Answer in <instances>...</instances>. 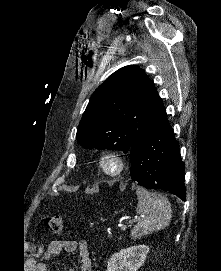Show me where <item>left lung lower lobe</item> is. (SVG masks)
I'll return each instance as SVG.
<instances>
[{
  "label": "left lung lower lobe",
  "instance_id": "1",
  "mask_svg": "<svg viewBox=\"0 0 221 271\" xmlns=\"http://www.w3.org/2000/svg\"><path fill=\"white\" fill-rule=\"evenodd\" d=\"M129 152L132 180L186 200L185 165L167 117L140 137Z\"/></svg>",
  "mask_w": 221,
  "mask_h": 271
}]
</instances>
